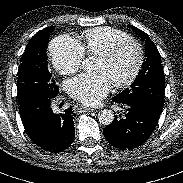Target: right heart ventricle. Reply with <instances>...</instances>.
Returning a JSON list of instances; mask_svg holds the SVG:
<instances>
[{
  "instance_id": "right-heart-ventricle-1",
  "label": "right heart ventricle",
  "mask_w": 183,
  "mask_h": 183,
  "mask_svg": "<svg viewBox=\"0 0 183 183\" xmlns=\"http://www.w3.org/2000/svg\"><path fill=\"white\" fill-rule=\"evenodd\" d=\"M128 38L130 36L122 30L112 27H97L85 31L81 46L87 55H98L116 42Z\"/></svg>"
}]
</instances>
